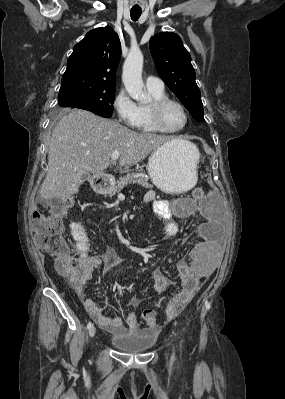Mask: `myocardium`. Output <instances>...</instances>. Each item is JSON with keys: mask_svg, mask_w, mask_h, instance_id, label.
I'll return each mask as SVG.
<instances>
[{"mask_svg": "<svg viewBox=\"0 0 285 399\" xmlns=\"http://www.w3.org/2000/svg\"><path fill=\"white\" fill-rule=\"evenodd\" d=\"M170 104L177 105L181 109V111L184 115V124L181 127L171 128V127L167 126L164 122V110ZM149 112H150V116H151L152 122L155 125V127L163 132L174 133V132L181 131L182 129H184V127L188 123V113H187L185 106L180 101L170 98V97H164V98L152 101L151 104L149 105Z\"/></svg>", "mask_w": 285, "mask_h": 399, "instance_id": "obj_1", "label": "myocardium"}]
</instances>
